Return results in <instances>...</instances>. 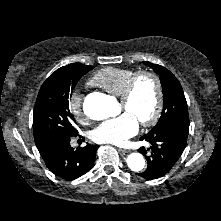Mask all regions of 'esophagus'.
<instances>
[{
    "instance_id": "34e87169",
    "label": "esophagus",
    "mask_w": 221,
    "mask_h": 221,
    "mask_svg": "<svg viewBox=\"0 0 221 221\" xmlns=\"http://www.w3.org/2000/svg\"><path fill=\"white\" fill-rule=\"evenodd\" d=\"M118 150H119L120 152H122V153H128V152H130V150L122 149V148H119Z\"/></svg>"
}]
</instances>
